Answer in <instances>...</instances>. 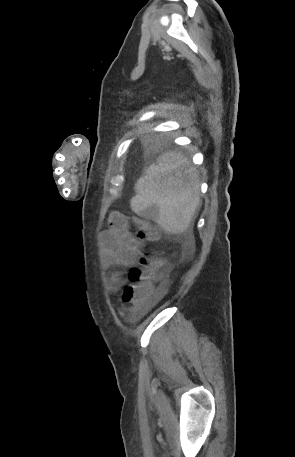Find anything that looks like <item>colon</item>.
Wrapping results in <instances>:
<instances>
[{
    "label": "colon",
    "mask_w": 295,
    "mask_h": 457,
    "mask_svg": "<svg viewBox=\"0 0 295 457\" xmlns=\"http://www.w3.org/2000/svg\"><path fill=\"white\" fill-rule=\"evenodd\" d=\"M138 228L137 236L141 241L154 243L159 239L157 228L148 220L134 218ZM163 260L152 254H144L139 260V266L128 272V285L122 294V314L136 317L146 306L153 291V281L160 276Z\"/></svg>",
    "instance_id": "1"
}]
</instances>
